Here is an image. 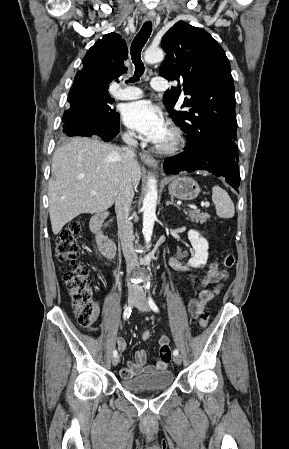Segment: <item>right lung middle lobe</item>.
Returning <instances> with one entry per match:
<instances>
[{"instance_id": "obj_1", "label": "right lung middle lobe", "mask_w": 289, "mask_h": 449, "mask_svg": "<svg viewBox=\"0 0 289 449\" xmlns=\"http://www.w3.org/2000/svg\"><path fill=\"white\" fill-rule=\"evenodd\" d=\"M107 90L108 88L90 93L77 113V118L79 120L98 122L108 121L113 115L114 110L111 109L113 100L110 98Z\"/></svg>"}]
</instances>
